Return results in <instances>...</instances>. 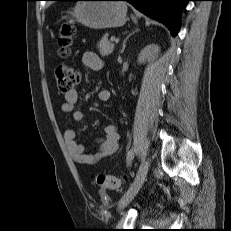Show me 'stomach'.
Wrapping results in <instances>:
<instances>
[{
  "mask_svg": "<svg viewBox=\"0 0 231 231\" xmlns=\"http://www.w3.org/2000/svg\"><path fill=\"white\" fill-rule=\"evenodd\" d=\"M69 14L86 27L106 29L125 24L127 7L116 0H83Z\"/></svg>",
  "mask_w": 231,
  "mask_h": 231,
  "instance_id": "obj_1",
  "label": "stomach"
}]
</instances>
